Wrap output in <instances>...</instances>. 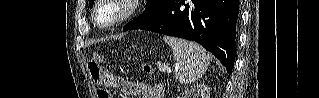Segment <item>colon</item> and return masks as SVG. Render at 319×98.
I'll use <instances>...</instances> for the list:
<instances>
[{
    "label": "colon",
    "mask_w": 319,
    "mask_h": 98,
    "mask_svg": "<svg viewBox=\"0 0 319 98\" xmlns=\"http://www.w3.org/2000/svg\"><path fill=\"white\" fill-rule=\"evenodd\" d=\"M94 56L96 57V60L89 63L88 68L91 75V78L93 82L98 85L100 88L98 90V97L99 98H111L110 93L108 90L104 87V84L107 81V76L104 71V68L102 67L103 57L95 53ZM142 70L146 74L152 73V68L149 65H143Z\"/></svg>",
    "instance_id": "1"
}]
</instances>
